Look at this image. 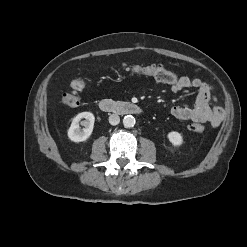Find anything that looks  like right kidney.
I'll list each match as a JSON object with an SVG mask.
<instances>
[{
    "label": "right kidney",
    "instance_id": "1",
    "mask_svg": "<svg viewBox=\"0 0 247 247\" xmlns=\"http://www.w3.org/2000/svg\"><path fill=\"white\" fill-rule=\"evenodd\" d=\"M84 119L83 121H81ZM95 117L91 112H82L76 115L72 120L71 126L68 129V137L73 142L86 141L92 134ZM84 126L82 130L79 125Z\"/></svg>",
    "mask_w": 247,
    "mask_h": 247
}]
</instances>
